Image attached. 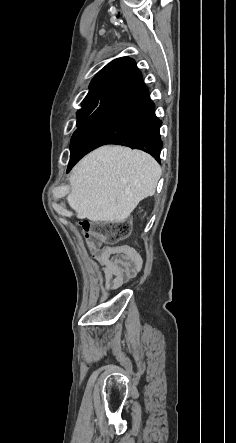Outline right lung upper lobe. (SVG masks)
Wrapping results in <instances>:
<instances>
[{
    "mask_svg": "<svg viewBox=\"0 0 236 443\" xmlns=\"http://www.w3.org/2000/svg\"><path fill=\"white\" fill-rule=\"evenodd\" d=\"M142 79L136 63L129 57L111 61L100 70L90 83V90L82 103L99 98H108L128 89Z\"/></svg>",
    "mask_w": 236,
    "mask_h": 443,
    "instance_id": "1",
    "label": "right lung upper lobe"
}]
</instances>
